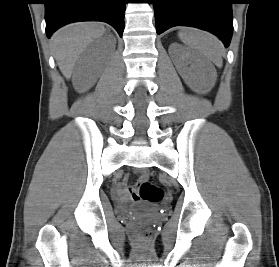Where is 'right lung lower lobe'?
<instances>
[{
	"label": "right lung lower lobe",
	"instance_id": "obj_1",
	"mask_svg": "<svg viewBox=\"0 0 279 267\" xmlns=\"http://www.w3.org/2000/svg\"><path fill=\"white\" fill-rule=\"evenodd\" d=\"M46 34L78 21H102L112 25L120 36L124 31L126 0H44Z\"/></svg>",
	"mask_w": 279,
	"mask_h": 267
}]
</instances>
